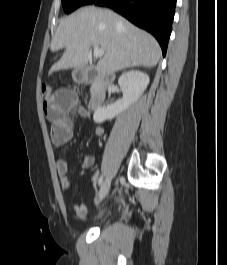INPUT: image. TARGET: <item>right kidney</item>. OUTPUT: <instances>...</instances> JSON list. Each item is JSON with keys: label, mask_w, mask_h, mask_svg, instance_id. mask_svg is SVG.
<instances>
[{"label": "right kidney", "mask_w": 227, "mask_h": 265, "mask_svg": "<svg viewBox=\"0 0 227 265\" xmlns=\"http://www.w3.org/2000/svg\"><path fill=\"white\" fill-rule=\"evenodd\" d=\"M123 98L108 106L98 107L93 115L96 123L112 120L136 102L149 84V76L141 71L132 70L122 74L118 79Z\"/></svg>", "instance_id": "obj_1"}]
</instances>
